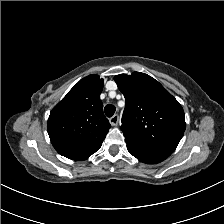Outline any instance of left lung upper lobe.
<instances>
[{"instance_id": "obj_1", "label": "left lung upper lobe", "mask_w": 224, "mask_h": 224, "mask_svg": "<svg viewBox=\"0 0 224 224\" xmlns=\"http://www.w3.org/2000/svg\"><path fill=\"white\" fill-rule=\"evenodd\" d=\"M114 80L126 100L121 126L125 141L171 155L186 127L179 102L145 73L120 74Z\"/></svg>"}]
</instances>
